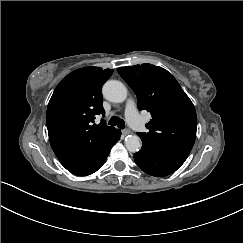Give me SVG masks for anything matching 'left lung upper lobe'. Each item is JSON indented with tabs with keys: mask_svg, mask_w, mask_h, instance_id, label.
I'll use <instances>...</instances> for the list:
<instances>
[{
	"mask_svg": "<svg viewBox=\"0 0 243 243\" xmlns=\"http://www.w3.org/2000/svg\"><path fill=\"white\" fill-rule=\"evenodd\" d=\"M137 95L138 108L152 120L147 133H138L143 142L189 155L196 138L197 116L193 103L176 79L165 69L142 64L117 69Z\"/></svg>",
	"mask_w": 243,
	"mask_h": 243,
	"instance_id": "obj_1",
	"label": "left lung upper lobe"
}]
</instances>
